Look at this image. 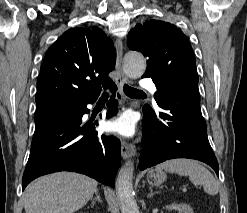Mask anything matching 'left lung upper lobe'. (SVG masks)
<instances>
[{"instance_id":"left-lung-upper-lobe-1","label":"left lung upper lobe","mask_w":247,"mask_h":213,"mask_svg":"<svg viewBox=\"0 0 247 213\" xmlns=\"http://www.w3.org/2000/svg\"><path fill=\"white\" fill-rule=\"evenodd\" d=\"M127 46L147 57L143 77H151L157 87V104L164 97L182 98L200 104L198 74L193 50L188 38L175 25L150 20L137 24L127 37ZM155 112L143 107L144 116Z\"/></svg>"}]
</instances>
